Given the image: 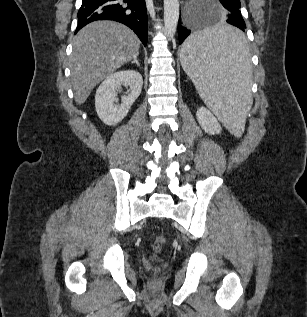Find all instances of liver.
I'll list each match as a JSON object with an SVG mask.
<instances>
[{
    "instance_id": "6515ba94",
    "label": "liver",
    "mask_w": 307,
    "mask_h": 317,
    "mask_svg": "<svg viewBox=\"0 0 307 317\" xmlns=\"http://www.w3.org/2000/svg\"><path fill=\"white\" fill-rule=\"evenodd\" d=\"M72 45L71 84L81 105L98 83L138 55L140 40L125 25L95 21L76 34Z\"/></svg>"
}]
</instances>
